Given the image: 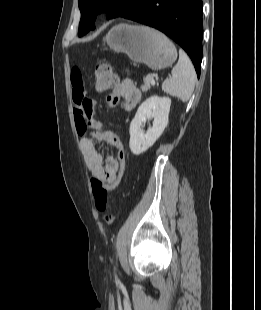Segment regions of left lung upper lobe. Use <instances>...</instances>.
Wrapping results in <instances>:
<instances>
[{"mask_svg": "<svg viewBox=\"0 0 261 310\" xmlns=\"http://www.w3.org/2000/svg\"><path fill=\"white\" fill-rule=\"evenodd\" d=\"M133 2L134 0H79L81 20L78 35L83 36L95 28L97 14L107 11L108 18L123 17L130 11Z\"/></svg>", "mask_w": 261, "mask_h": 310, "instance_id": "obj_1", "label": "left lung upper lobe"}]
</instances>
